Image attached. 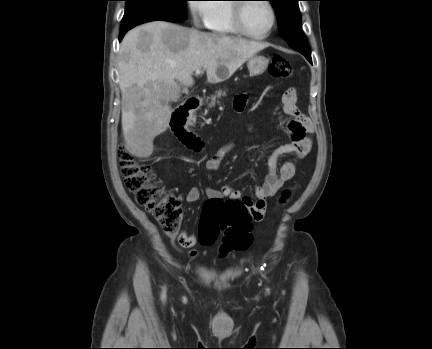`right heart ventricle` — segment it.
Listing matches in <instances>:
<instances>
[{
	"label": "right heart ventricle",
	"mask_w": 432,
	"mask_h": 349,
	"mask_svg": "<svg viewBox=\"0 0 432 349\" xmlns=\"http://www.w3.org/2000/svg\"><path fill=\"white\" fill-rule=\"evenodd\" d=\"M225 1L215 0L210 4V10L206 18L205 26L212 33L222 36H234L238 32L232 23V5Z\"/></svg>",
	"instance_id": "e07e8e85"
}]
</instances>
